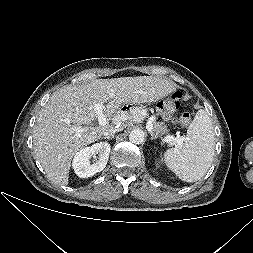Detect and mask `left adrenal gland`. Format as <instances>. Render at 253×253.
Segmentation results:
<instances>
[{"mask_svg":"<svg viewBox=\"0 0 253 253\" xmlns=\"http://www.w3.org/2000/svg\"><path fill=\"white\" fill-rule=\"evenodd\" d=\"M150 135H151V140H154V139H157L158 136L155 135L154 133L150 132Z\"/></svg>","mask_w":253,"mask_h":253,"instance_id":"a2214340","label":"left adrenal gland"}]
</instances>
